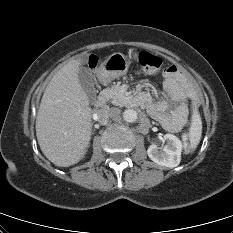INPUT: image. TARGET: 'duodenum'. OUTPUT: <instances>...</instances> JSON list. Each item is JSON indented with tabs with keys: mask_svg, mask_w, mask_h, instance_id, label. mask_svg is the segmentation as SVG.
<instances>
[{
	"mask_svg": "<svg viewBox=\"0 0 233 233\" xmlns=\"http://www.w3.org/2000/svg\"><path fill=\"white\" fill-rule=\"evenodd\" d=\"M106 95L105 94H101L98 96L97 100L95 101V107L97 109H101L106 105ZM137 102H141V97L137 98L136 100Z\"/></svg>",
	"mask_w": 233,
	"mask_h": 233,
	"instance_id": "duodenum-1",
	"label": "duodenum"
}]
</instances>
